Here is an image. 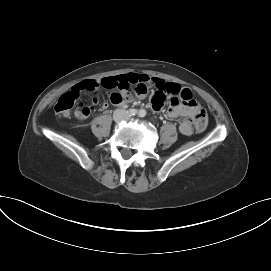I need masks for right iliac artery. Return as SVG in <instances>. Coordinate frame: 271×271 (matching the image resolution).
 Instances as JSON below:
<instances>
[{
	"instance_id": "obj_1",
	"label": "right iliac artery",
	"mask_w": 271,
	"mask_h": 271,
	"mask_svg": "<svg viewBox=\"0 0 271 271\" xmlns=\"http://www.w3.org/2000/svg\"><path fill=\"white\" fill-rule=\"evenodd\" d=\"M127 113L129 116H133V115H136L138 111L136 109H129Z\"/></svg>"
}]
</instances>
